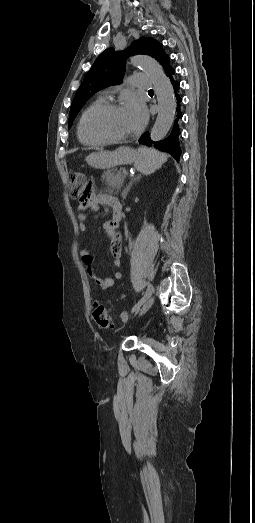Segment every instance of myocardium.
I'll list each match as a JSON object with an SVG mask.
<instances>
[{
    "label": "myocardium",
    "instance_id": "myocardium-1",
    "mask_svg": "<svg viewBox=\"0 0 255 523\" xmlns=\"http://www.w3.org/2000/svg\"><path fill=\"white\" fill-rule=\"evenodd\" d=\"M125 105H126L125 102H114V101L108 100V101H103L101 103H98V104L94 105L93 107H91L85 113V115L82 119V122H81V127H82V131H83L84 135L88 139L98 142V143H118V142H124V141H128V140L135 138L137 136V134H134L131 136H118V137L96 136V135L92 134L87 127L88 120L94 113L101 111V110H105V109L121 108Z\"/></svg>",
    "mask_w": 255,
    "mask_h": 523
}]
</instances>
